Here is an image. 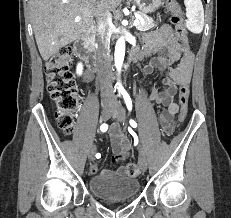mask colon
Segmentation results:
<instances>
[{
  "label": "colon",
  "mask_w": 231,
  "mask_h": 218,
  "mask_svg": "<svg viewBox=\"0 0 231 218\" xmlns=\"http://www.w3.org/2000/svg\"><path fill=\"white\" fill-rule=\"evenodd\" d=\"M168 9L172 13L171 20L177 38L182 43L187 44L188 33L180 7L174 0H168ZM72 58L73 49L65 46L51 56L45 65L47 89L55 102L56 119L59 127L67 134L73 130L74 116L79 104L78 89L71 72ZM189 96V84L182 85L179 89L180 122L187 115ZM125 167L126 173L130 177H136L140 173V168L136 163H128Z\"/></svg>",
  "instance_id": "5ec220e1"
}]
</instances>
